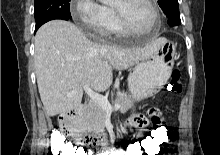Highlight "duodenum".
Returning a JSON list of instances; mask_svg holds the SVG:
<instances>
[{"label": "duodenum", "mask_w": 220, "mask_h": 155, "mask_svg": "<svg viewBox=\"0 0 220 155\" xmlns=\"http://www.w3.org/2000/svg\"><path fill=\"white\" fill-rule=\"evenodd\" d=\"M83 111H84V106L77 105L71 110L64 113L61 118V124L65 131L66 136H68L76 143H81V145H84L86 143L88 137L79 133L76 130L74 126V122L82 116Z\"/></svg>", "instance_id": "1"}]
</instances>
